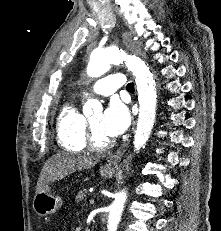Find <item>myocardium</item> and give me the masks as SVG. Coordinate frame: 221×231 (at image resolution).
<instances>
[{"instance_id": "f54148a6", "label": "myocardium", "mask_w": 221, "mask_h": 231, "mask_svg": "<svg viewBox=\"0 0 221 231\" xmlns=\"http://www.w3.org/2000/svg\"><path fill=\"white\" fill-rule=\"evenodd\" d=\"M85 141L89 149L98 152L108 150L115 144V141L113 139L103 143L98 142V140L95 137V133L90 125V122L86 118H85Z\"/></svg>"}]
</instances>
